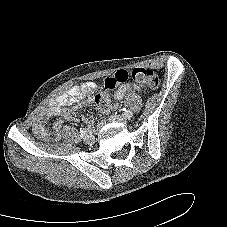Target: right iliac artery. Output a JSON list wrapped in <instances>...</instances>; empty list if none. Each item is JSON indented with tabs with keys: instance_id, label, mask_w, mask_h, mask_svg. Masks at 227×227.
Returning <instances> with one entry per match:
<instances>
[{
	"instance_id": "82829eb1",
	"label": "right iliac artery",
	"mask_w": 227,
	"mask_h": 227,
	"mask_svg": "<svg viewBox=\"0 0 227 227\" xmlns=\"http://www.w3.org/2000/svg\"><path fill=\"white\" fill-rule=\"evenodd\" d=\"M88 132L87 128H81L80 129V136L83 138Z\"/></svg>"
}]
</instances>
